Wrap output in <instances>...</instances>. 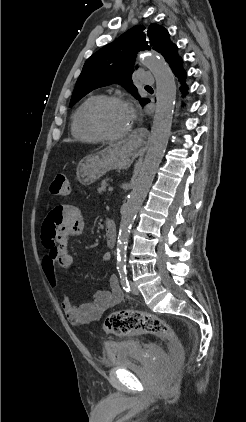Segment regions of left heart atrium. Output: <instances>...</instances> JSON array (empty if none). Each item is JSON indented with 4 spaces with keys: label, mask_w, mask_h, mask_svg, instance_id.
Here are the masks:
<instances>
[{
    "label": "left heart atrium",
    "mask_w": 246,
    "mask_h": 422,
    "mask_svg": "<svg viewBox=\"0 0 246 422\" xmlns=\"http://www.w3.org/2000/svg\"><path fill=\"white\" fill-rule=\"evenodd\" d=\"M129 112H130V117H131V120H132L133 117H134V110L129 107Z\"/></svg>",
    "instance_id": "left-heart-atrium-1"
}]
</instances>
